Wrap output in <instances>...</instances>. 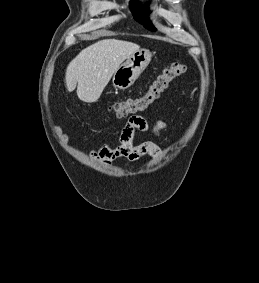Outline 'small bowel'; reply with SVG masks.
<instances>
[{
  "mask_svg": "<svg viewBox=\"0 0 259 283\" xmlns=\"http://www.w3.org/2000/svg\"><path fill=\"white\" fill-rule=\"evenodd\" d=\"M166 126L164 121L159 120L153 125L152 131L159 136ZM149 129L150 126L144 117L139 115L131 116L121 131V145L115 148L103 145L93 150L91 156L104 165H110L119 158L125 159L128 162H135L144 155L157 158L161 155V149L155 142L148 140L137 144L133 143V138L137 131L146 132Z\"/></svg>",
  "mask_w": 259,
  "mask_h": 283,
  "instance_id": "small-bowel-1",
  "label": "small bowel"
}]
</instances>
